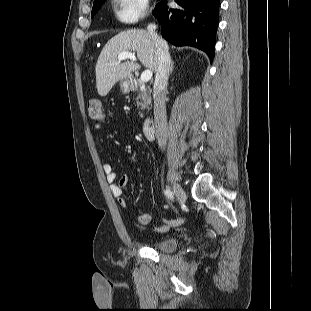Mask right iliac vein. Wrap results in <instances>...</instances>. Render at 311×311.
Masks as SVG:
<instances>
[{"instance_id": "1", "label": "right iliac vein", "mask_w": 311, "mask_h": 311, "mask_svg": "<svg viewBox=\"0 0 311 311\" xmlns=\"http://www.w3.org/2000/svg\"><path fill=\"white\" fill-rule=\"evenodd\" d=\"M173 191H174V194H175L176 198L178 199L179 203L183 204L185 202V199H186V193L183 190V188L179 184L174 183L173 184Z\"/></svg>"}]
</instances>
